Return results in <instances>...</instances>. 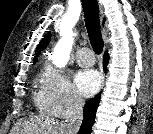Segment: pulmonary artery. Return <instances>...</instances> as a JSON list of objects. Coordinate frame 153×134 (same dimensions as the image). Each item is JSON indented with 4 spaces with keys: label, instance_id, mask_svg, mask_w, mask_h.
<instances>
[{
    "label": "pulmonary artery",
    "instance_id": "e3ab8cb5",
    "mask_svg": "<svg viewBox=\"0 0 153 134\" xmlns=\"http://www.w3.org/2000/svg\"><path fill=\"white\" fill-rule=\"evenodd\" d=\"M76 60L79 65L84 67H90L95 63V58L90 49L83 47L76 53Z\"/></svg>",
    "mask_w": 153,
    "mask_h": 134
}]
</instances>
